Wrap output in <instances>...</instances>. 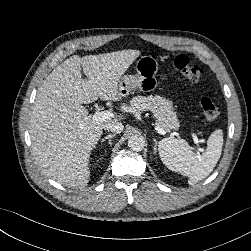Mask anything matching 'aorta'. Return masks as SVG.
I'll use <instances>...</instances> for the list:
<instances>
[{
  "mask_svg": "<svg viewBox=\"0 0 251 251\" xmlns=\"http://www.w3.org/2000/svg\"><path fill=\"white\" fill-rule=\"evenodd\" d=\"M145 146V140L141 135H131L128 139V147L133 151H141Z\"/></svg>",
  "mask_w": 251,
  "mask_h": 251,
  "instance_id": "1",
  "label": "aorta"
}]
</instances>
